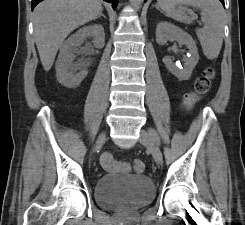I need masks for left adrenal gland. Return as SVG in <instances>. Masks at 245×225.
<instances>
[{"instance_id":"a2214340","label":"left adrenal gland","mask_w":245,"mask_h":225,"mask_svg":"<svg viewBox=\"0 0 245 225\" xmlns=\"http://www.w3.org/2000/svg\"><path fill=\"white\" fill-rule=\"evenodd\" d=\"M155 7H156V9H157V10H159V11H160V9H159V7H158L157 5H156Z\"/></svg>"}]
</instances>
